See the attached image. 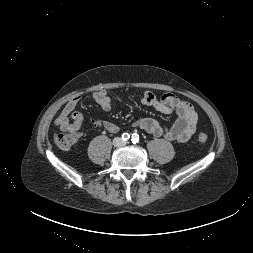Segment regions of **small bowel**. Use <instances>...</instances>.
I'll return each instance as SVG.
<instances>
[{
    "label": "small bowel",
    "instance_id": "1",
    "mask_svg": "<svg viewBox=\"0 0 253 253\" xmlns=\"http://www.w3.org/2000/svg\"><path fill=\"white\" fill-rule=\"evenodd\" d=\"M92 98L102 110L106 112L111 110V99L105 90L93 93ZM79 100V96L71 98L55 120V125L61 131L72 134L73 145L79 141V130L84 122L83 115L76 110ZM140 100L143 105L151 106L163 114L175 113L177 119L172 126L163 127L153 118L141 117L134 121L133 125L135 127L155 137H163L179 143L187 142L195 133L198 115L191 104L178 96L172 93L157 96L150 91H146L142 94ZM92 124L95 127H102L110 133H116L119 130L116 124L109 121L94 120Z\"/></svg>",
    "mask_w": 253,
    "mask_h": 253
}]
</instances>
